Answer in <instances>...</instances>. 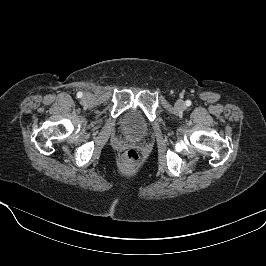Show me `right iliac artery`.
Returning a JSON list of instances; mask_svg holds the SVG:
<instances>
[{
    "label": "right iliac artery",
    "instance_id": "obj_1",
    "mask_svg": "<svg viewBox=\"0 0 266 266\" xmlns=\"http://www.w3.org/2000/svg\"><path fill=\"white\" fill-rule=\"evenodd\" d=\"M82 96H83V93H82V92H78V93H77V97H78V98H81Z\"/></svg>",
    "mask_w": 266,
    "mask_h": 266
}]
</instances>
